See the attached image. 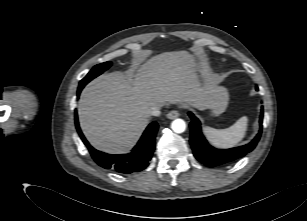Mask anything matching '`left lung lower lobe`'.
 <instances>
[{
  "label": "left lung lower lobe",
  "instance_id": "obj_1",
  "mask_svg": "<svg viewBox=\"0 0 307 221\" xmlns=\"http://www.w3.org/2000/svg\"><path fill=\"white\" fill-rule=\"evenodd\" d=\"M256 90H258L257 87ZM189 116L192 120L190 123V144L193 150V154L197 160L208 167H216L224 164H229L240 159L256 147L261 137L262 128H260L258 134L252 140V142L247 145L226 150L216 149L209 145L207 140L204 138L201 132L200 121L191 112H189ZM262 121L263 109L261 110L260 115L261 127Z\"/></svg>",
  "mask_w": 307,
  "mask_h": 221
}]
</instances>
